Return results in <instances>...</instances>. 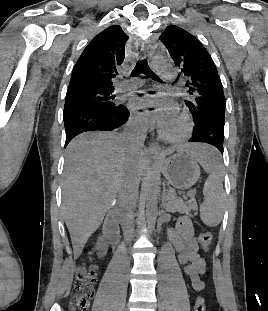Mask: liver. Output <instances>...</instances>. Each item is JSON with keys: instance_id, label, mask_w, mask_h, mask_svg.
<instances>
[{"instance_id": "6515ba94", "label": "liver", "mask_w": 268, "mask_h": 311, "mask_svg": "<svg viewBox=\"0 0 268 311\" xmlns=\"http://www.w3.org/2000/svg\"><path fill=\"white\" fill-rule=\"evenodd\" d=\"M194 154L197 146L188 147ZM174 149L164 152L172 154ZM147 165L146 155L115 132H88L67 149L62 182V213L77 259L102 223L124 183L136 188Z\"/></svg>"}]
</instances>
